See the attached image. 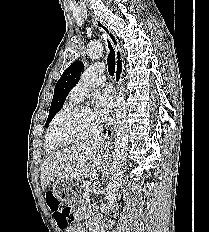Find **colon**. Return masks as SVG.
Returning <instances> with one entry per match:
<instances>
[{
    "label": "colon",
    "instance_id": "obj_1",
    "mask_svg": "<svg viewBox=\"0 0 209 232\" xmlns=\"http://www.w3.org/2000/svg\"><path fill=\"white\" fill-rule=\"evenodd\" d=\"M44 198H48V206L53 212L55 225L61 228L68 227L72 219L70 208L60 206L59 202L53 197V193H44Z\"/></svg>",
    "mask_w": 209,
    "mask_h": 232
}]
</instances>
